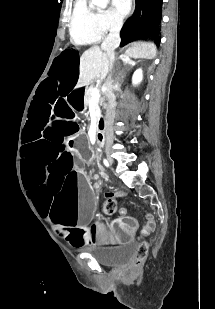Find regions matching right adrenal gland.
<instances>
[{
    "label": "right adrenal gland",
    "mask_w": 215,
    "mask_h": 309,
    "mask_svg": "<svg viewBox=\"0 0 215 309\" xmlns=\"http://www.w3.org/2000/svg\"><path fill=\"white\" fill-rule=\"evenodd\" d=\"M119 58L123 60L124 64H131V66H134V64H136L135 60H130L128 54H120Z\"/></svg>",
    "instance_id": "1"
}]
</instances>
